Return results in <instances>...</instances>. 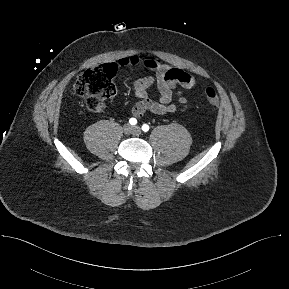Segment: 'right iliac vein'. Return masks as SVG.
I'll return each mask as SVG.
<instances>
[{"instance_id":"63e3f726","label":"right iliac vein","mask_w":289,"mask_h":289,"mask_svg":"<svg viewBox=\"0 0 289 289\" xmlns=\"http://www.w3.org/2000/svg\"><path fill=\"white\" fill-rule=\"evenodd\" d=\"M123 130L126 134H131L133 132V127L130 124H125Z\"/></svg>"}]
</instances>
